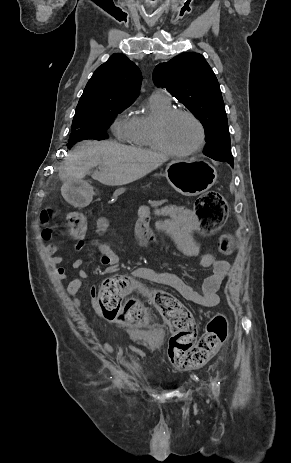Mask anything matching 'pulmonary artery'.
Segmentation results:
<instances>
[{
	"label": "pulmonary artery",
	"mask_w": 291,
	"mask_h": 463,
	"mask_svg": "<svg viewBox=\"0 0 291 463\" xmlns=\"http://www.w3.org/2000/svg\"><path fill=\"white\" fill-rule=\"evenodd\" d=\"M155 92L161 94L165 99H168V100H169V96H168V94H167L165 91H163V90H157V91H155Z\"/></svg>",
	"instance_id": "obj_1"
}]
</instances>
